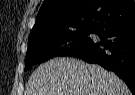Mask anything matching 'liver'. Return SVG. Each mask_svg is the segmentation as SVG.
<instances>
[{"label":"liver","mask_w":135,"mask_h":95,"mask_svg":"<svg viewBox=\"0 0 135 95\" xmlns=\"http://www.w3.org/2000/svg\"><path fill=\"white\" fill-rule=\"evenodd\" d=\"M114 73L73 58H55L30 76L24 95H131Z\"/></svg>","instance_id":"liver-1"}]
</instances>
